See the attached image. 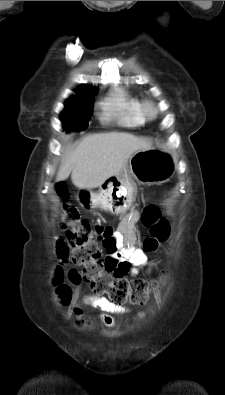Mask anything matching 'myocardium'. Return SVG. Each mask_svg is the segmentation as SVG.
Wrapping results in <instances>:
<instances>
[{"instance_id":"obj_1","label":"myocardium","mask_w":225,"mask_h":395,"mask_svg":"<svg viewBox=\"0 0 225 395\" xmlns=\"http://www.w3.org/2000/svg\"><path fill=\"white\" fill-rule=\"evenodd\" d=\"M140 113L144 120H154L158 115V110L155 103L151 100H144L140 102Z\"/></svg>"}]
</instances>
